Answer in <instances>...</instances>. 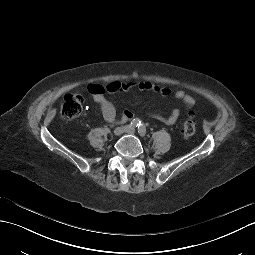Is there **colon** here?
<instances>
[{"label": "colon", "mask_w": 255, "mask_h": 255, "mask_svg": "<svg viewBox=\"0 0 255 255\" xmlns=\"http://www.w3.org/2000/svg\"><path fill=\"white\" fill-rule=\"evenodd\" d=\"M84 98L80 95H66L61 102V113L66 118H74L79 116L83 109ZM196 132V122L189 116L185 119L182 126V134L184 137H191Z\"/></svg>", "instance_id": "5ec220e1"}]
</instances>
